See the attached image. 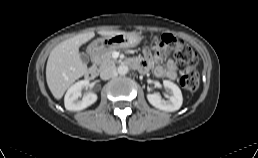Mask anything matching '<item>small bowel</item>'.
<instances>
[{
	"label": "small bowel",
	"mask_w": 258,
	"mask_h": 158,
	"mask_svg": "<svg viewBox=\"0 0 258 158\" xmlns=\"http://www.w3.org/2000/svg\"><path fill=\"white\" fill-rule=\"evenodd\" d=\"M129 60L139 63V70L142 72L152 69L156 77L167 78L169 80H175L177 78V68L172 59L168 57V52L166 50L155 53L153 49L147 48L143 50L142 58H131ZM160 60L164 63L162 65H157V62Z\"/></svg>",
	"instance_id": "small-bowel-1"
}]
</instances>
